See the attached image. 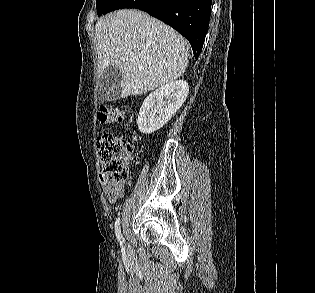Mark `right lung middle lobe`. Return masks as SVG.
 I'll return each mask as SVG.
<instances>
[{
	"label": "right lung middle lobe",
	"instance_id": "obj_1",
	"mask_svg": "<svg viewBox=\"0 0 315 293\" xmlns=\"http://www.w3.org/2000/svg\"><path fill=\"white\" fill-rule=\"evenodd\" d=\"M112 1L113 0H97L96 8H97L98 16H101V15H103L105 13V11L107 10L109 4Z\"/></svg>",
	"mask_w": 315,
	"mask_h": 293
}]
</instances>
